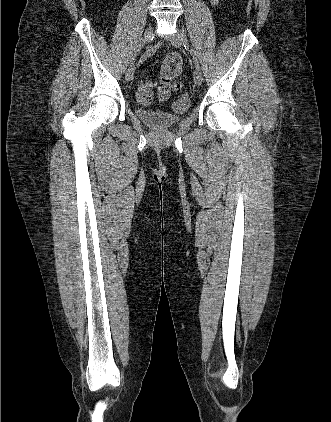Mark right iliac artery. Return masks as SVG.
<instances>
[{
	"mask_svg": "<svg viewBox=\"0 0 331 422\" xmlns=\"http://www.w3.org/2000/svg\"><path fill=\"white\" fill-rule=\"evenodd\" d=\"M143 45L144 44L141 41L140 44L138 45V48L133 52V58L130 60V66L134 65L135 62L137 61L138 54L142 51Z\"/></svg>",
	"mask_w": 331,
	"mask_h": 422,
	"instance_id": "right-iliac-artery-1",
	"label": "right iliac artery"
}]
</instances>
